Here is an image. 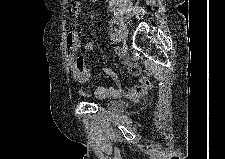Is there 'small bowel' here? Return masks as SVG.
<instances>
[{
  "label": "small bowel",
  "instance_id": "obj_1",
  "mask_svg": "<svg viewBox=\"0 0 225 159\" xmlns=\"http://www.w3.org/2000/svg\"><path fill=\"white\" fill-rule=\"evenodd\" d=\"M70 16L73 20H77L81 14V4L80 2H75L70 8ZM66 44L70 51V67L71 74L74 81L79 85H84L88 83L92 77V71L88 68L86 59L83 56L77 57L81 42L77 31L70 30L66 36ZM95 48L93 42H87L84 46L85 52H92ZM123 64L129 69H134V62L127 56V54L121 50L117 49ZM108 76H110L114 81H117V75L110 69L105 70ZM149 82L146 78H140L138 82L131 87H128L125 92L130 95H137L144 92L148 88ZM124 90L119 87H96L93 90V95L99 98H109V97H118L123 94Z\"/></svg>",
  "mask_w": 225,
  "mask_h": 159
}]
</instances>
